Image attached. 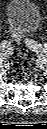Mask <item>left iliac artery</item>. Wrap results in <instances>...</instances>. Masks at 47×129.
Listing matches in <instances>:
<instances>
[{"label":"left iliac artery","mask_w":47,"mask_h":129,"mask_svg":"<svg viewBox=\"0 0 47 129\" xmlns=\"http://www.w3.org/2000/svg\"><path fill=\"white\" fill-rule=\"evenodd\" d=\"M31 47L33 49H36V50H43V51L47 50V45L46 44L45 45H41V44H37L34 41L31 42Z\"/></svg>","instance_id":"left-iliac-artery-1"}]
</instances>
